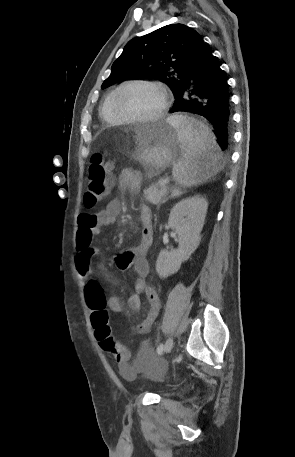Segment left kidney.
<instances>
[{
	"mask_svg": "<svg viewBox=\"0 0 295 457\" xmlns=\"http://www.w3.org/2000/svg\"><path fill=\"white\" fill-rule=\"evenodd\" d=\"M205 198L194 196L181 200L171 210L168 224L177 233L178 249L161 250L156 261L160 278L176 273L181 264L197 249L207 213Z\"/></svg>",
	"mask_w": 295,
	"mask_h": 457,
	"instance_id": "5707ae66",
	"label": "left kidney"
}]
</instances>
